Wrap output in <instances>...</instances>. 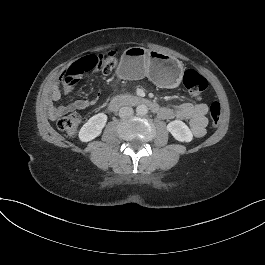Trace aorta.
<instances>
[{
	"instance_id": "762f6f07",
	"label": "aorta",
	"mask_w": 265,
	"mask_h": 265,
	"mask_svg": "<svg viewBox=\"0 0 265 265\" xmlns=\"http://www.w3.org/2000/svg\"><path fill=\"white\" fill-rule=\"evenodd\" d=\"M147 112H148V108H147V106L144 105V104H140V105H138V106L136 107V113H137V115H139V116H144V115L147 114Z\"/></svg>"
}]
</instances>
